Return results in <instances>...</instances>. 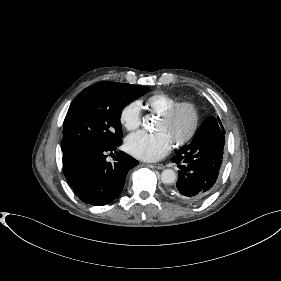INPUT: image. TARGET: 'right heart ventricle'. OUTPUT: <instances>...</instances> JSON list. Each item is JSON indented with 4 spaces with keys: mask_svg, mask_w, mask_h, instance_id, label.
I'll list each match as a JSON object with an SVG mask.
<instances>
[{
    "mask_svg": "<svg viewBox=\"0 0 281 281\" xmlns=\"http://www.w3.org/2000/svg\"><path fill=\"white\" fill-rule=\"evenodd\" d=\"M178 102V99L164 92H155L138 103L148 111L160 115Z\"/></svg>",
    "mask_w": 281,
    "mask_h": 281,
    "instance_id": "1",
    "label": "right heart ventricle"
}]
</instances>
